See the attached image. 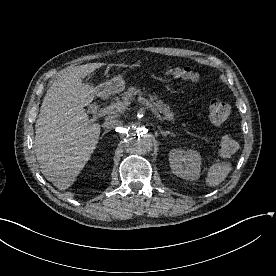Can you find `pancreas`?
<instances>
[{
  "label": "pancreas",
  "instance_id": "pancreas-1",
  "mask_svg": "<svg viewBox=\"0 0 276 276\" xmlns=\"http://www.w3.org/2000/svg\"><path fill=\"white\" fill-rule=\"evenodd\" d=\"M144 92L136 87H130L122 94V101L125 103H131L135 101V96L142 97ZM150 102L154 105L155 109L164 115V118L168 121H174V114L170 110L169 105L165 104L162 100H159L155 95H149Z\"/></svg>",
  "mask_w": 276,
  "mask_h": 276
}]
</instances>
